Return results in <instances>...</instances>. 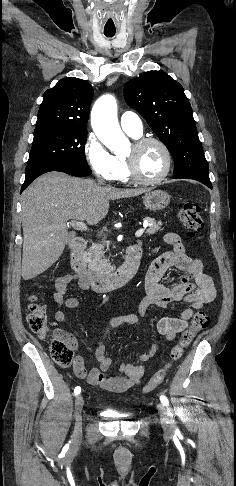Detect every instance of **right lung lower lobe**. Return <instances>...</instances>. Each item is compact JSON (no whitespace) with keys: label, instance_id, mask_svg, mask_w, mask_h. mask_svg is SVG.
<instances>
[{"label":"right lung lower lobe","instance_id":"98d812e1","mask_svg":"<svg viewBox=\"0 0 236 486\" xmlns=\"http://www.w3.org/2000/svg\"><path fill=\"white\" fill-rule=\"evenodd\" d=\"M50 171L65 172L77 177H84L91 174V170L88 166L54 162H37L28 164L26 167L25 181L21 187V192L24 191L35 178Z\"/></svg>","mask_w":236,"mask_h":486}]
</instances>
